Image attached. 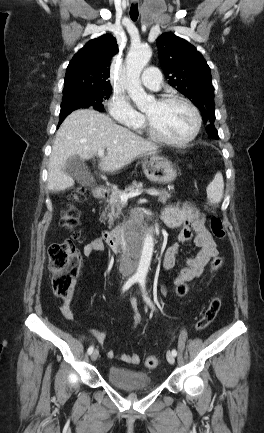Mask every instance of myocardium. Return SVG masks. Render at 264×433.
Returning a JSON list of instances; mask_svg holds the SVG:
<instances>
[{
    "label": "myocardium",
    "mask_w": 264,
    "mask_h": 433,
    "mask_svg": "<svg viewBox=\"0 0 264 433\" xmlns=\"http://www.w3.org/2000/svg\"><path fill=\"white\" fill-rule=\"evenodd\" d=\"M158 104L161 105H166V104H171V103H181L183 105H185L187 108L190 109V111L192 112L193 116H194V128L192 130V132L184 139L182 140H174L171 139L167 136H165L164 134H162L152 123V121L150 120V118L145 115V122H146V126L148 129L149 134L156 140H158L159 142L174 146V147H185L188 144H190L199 134L201 126H202V117L201 114L198 110V108L188 99L181 97V96H177V95H172V96H165L162 97L160 99L157 100Z\"/></svg>",
    "instance_id": "myocardium-1"
}]
</instances>
